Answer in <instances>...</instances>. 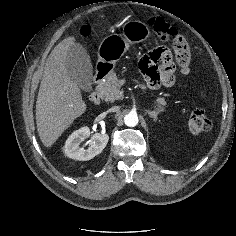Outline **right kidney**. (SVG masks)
<instances>
[{
	"label": "right kidney",
	"instance_id": "obj_1",
	"mask_svg": "<svg viewBox=\"0 0 236 236\" xmlns=\"http://www.w3.org/2000/svg\"><path fill=\"white\" fill-rule=\"evenodd\" d=\"M90 136L88 127H82L74 131L66 140L64 146L65 155L71 159L79 161H87L100 154L106 147L109 136L103 133L92 135L90 146L85 149L80 146V143Z\"/></svg>",
	"mask_w": 236,
	"mask_h": 236
}]
</instances>
